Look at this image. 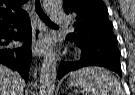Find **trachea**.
<instances>
[{
  "instance_id": "3493384b",
  "label": "trachea",
  "mask_w": 135,
  "mask_h": 95,
  "mask_svg": "<svg viewBox=\"0 0 135 95\" xmlns=\"http://www.w3.org/2000/svg\"><path fill=\"white\" fill-rule=\"evenodd\" d=\"M35 9H36L37 14L39 15V17L43 20V22H44L45 24L56 26V24H54V23L49 19V17L46 16V14L43 12L39 0H37V1L35 2Z\"/></svg>"
}]
</instances>
